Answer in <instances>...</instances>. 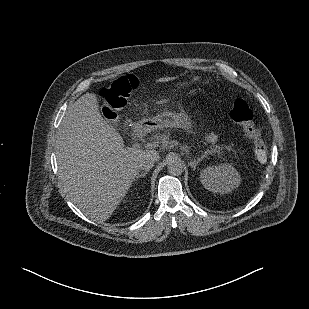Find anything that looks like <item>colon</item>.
<instances>
[{"instance_id": "5ec220e1", "label": "colon", "mask_w": 309, "mask_h": 309, "mask_svg": "<svg viewBox=\"0 0 309 309\" xmlns=\"http://www.w3.org/2000/svg\"><path fill=\"white\" fill-rule=\"evenodd\" d=\"M138 79L132 74L123 75L108 83L100 91L102 111L110 116L116 115L128 102L132 92L138 87ZM230 119L240 125L247 137L253 140L256 158L264 162L267 160L268 151L259 130L254 123L253 112L249 105L242 99H237L231 108Z\"/></svg>"}]
</instances>
